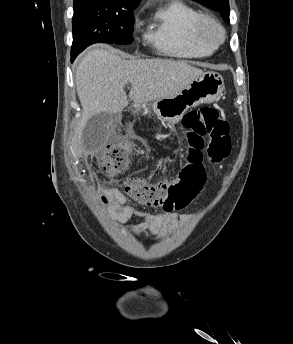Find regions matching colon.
I'll use <instances>...</instances> for the list:
<instances>
[{
    "mask_svg": "<svg viewBox=\"0 0 293 344\" xmlns=\"http://www.w3.org/2000/svg\"><path fill=\"white\" fill-rule=\"evenodd\" d=\"M187 146V164L178 178L169 181L150 182L136 175H128L122 182L127 195L137 202L173 211L187 207L198 195L204 184L195 178V168L202 164V150L207 139V157L211 163H220L231 150L229 124L222 112L214 107H202L185 114L182 120ZM137 148L136 142H122L99 153L95 161L110 176L127 171ZM102 203H108L103 195Z\"/></svg>",
    "mask_w": 293,
    "mask_h": 344,
    "instance_id": "5ec220e1",
    "label": "colon"
}]
</instances>
